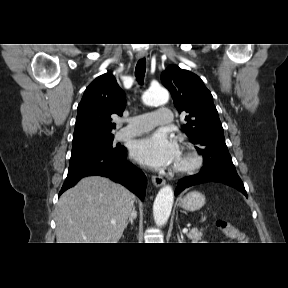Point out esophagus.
<instances>
[{"label": "esophagus", "instance_id": "esophagus-1", "mask_svg": "<svg viewBox=\"0 0 288 288\" xmlns=\"http://www.w3.org/2000/svg\"><path fill=\"white\" fill-rule=\"evenodd\" d=\"M147 55L146 51H139L137 54L138 59H142ZM152 182L156 187H160L165 184V180L161 176H152Z\"/></svg>", "mask_w": 288, "mask_h": 288}]
</instances>
